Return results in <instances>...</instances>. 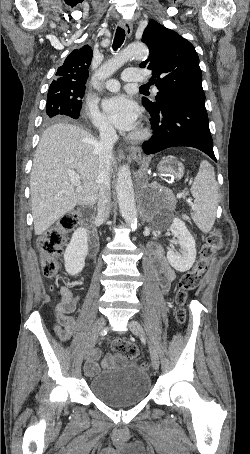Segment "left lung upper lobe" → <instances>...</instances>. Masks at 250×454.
I'll use <instances>...</instances> for the list:
<instances>
[{
  "instance_id": "1",
  "label": "left lung upper lobe",
  "mask_w": 250,
  "mask_h": 454,
  "mask_svg": "<svg viewBox=\"0 0 250 454\" xmlns=\"http://www.w3.org/2000/svg\"><path fill=\"white\" fill-rule=\"evenodd\" d=\"M142 41L150 56L140 67L152 71L151 80L159 90L155 101L142 98L148 111L173 102L205 101L199 57L189 41L154 20L149 21Z\"/></svg>"
}]
</instances>
